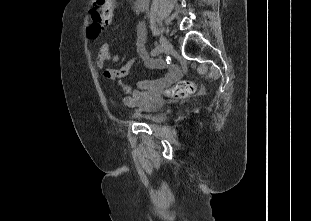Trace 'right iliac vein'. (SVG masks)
Returning <instances> with one entry per match:
<instances>
[{"label": "right iliac vein", "mask_w": 311, "mask_h": 221, "mask_svg": "<svg viewBox=\"0 0 311 221\" xmlns=\"http://www.w3.org/2000/svg\"><path fill=\"white\" fill-rule=\"evenodd\" d=\"M161 42V49L164 54H169L172 51V45L168 41V39L165 36H161L160 38Z\"/></svg>", "instance_id": "63e3f726"}]
</instances>
